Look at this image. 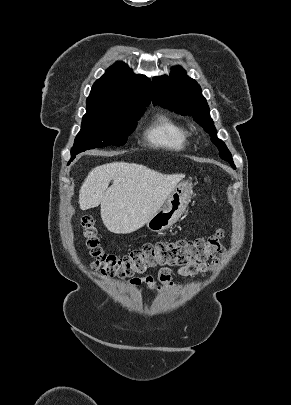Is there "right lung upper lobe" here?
I'll return each mask as SVG.
<instances>
[{
    "label": "right lung upper lobe",
    "mask_w": 291,
    "mask_h": 405,
    "mask_svg": "<svg viewBox=\"0 0 291 405\" xmlns=\"http://www.w3.org/2000/svg\"><path fill=\"white\" fill-rule=\"evenodd\" d=\"M151 100V82L134 74L123 62H116L96 80L86 101V109L135 110L146 108Z\"/></svg>",
    "instance_id": "1"
}]
</instances>
